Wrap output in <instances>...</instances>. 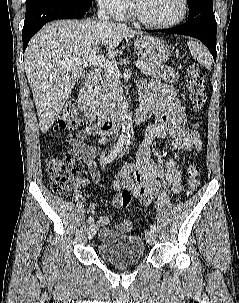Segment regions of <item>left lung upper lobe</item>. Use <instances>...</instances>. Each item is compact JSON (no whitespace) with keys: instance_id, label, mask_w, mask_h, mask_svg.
I'll use <instances>...</instances> for the list:
<instances>
[{"instance_id":"1","label":"left lung upper lobe","mask_w":239,"mask_h":303,"mask_svg":"<svg viewBox=\"0 0 239 303\" xmlns=\"http://www.w3.org/2000/svg\"><path fill=\"white\" fill-rule=\"evenodd\" d=\"M187 3L189 7V20L201 14H213L212 0H187Z\"/></svg>"}]
</instances>
